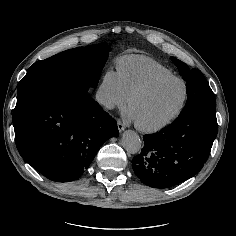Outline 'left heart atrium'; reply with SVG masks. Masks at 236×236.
<instances>
[{"mask_svg": "<svg viewBox=\"0 0 236 236\" xmlns=\"http://www.w3.org/2000/svg\"><path fill=\"white\" fill-rule=\"evenodd\" d=\"M128 116H129V118L133 119L131 112H129Z\"/></svg>", "mask_w": 236, "mask_h": 236, "instance_id": "1", "label": "left heart atrium"}]
</instances>
